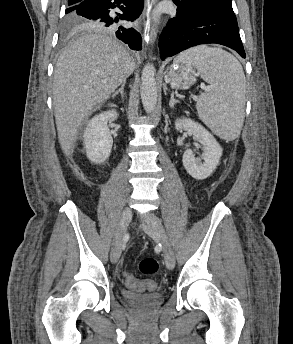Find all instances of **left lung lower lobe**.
I'll return each instance as SVG.
<instances>
[{"label": "left lung lower lobe", "instance_id": "left-lung-lower-lobe-1", "mask_svg": "<svg viewBox=\"0 0 293 344\" xmlns=\"http://www.w3.org/2000/svg\"><path fill=\"white\" fill-rule=\"evenodd\" d=\"M175 2L177 17L168 22L159 39L161 59L171 57L190 47L216 43L237 51L245 58V51L239 29L209 10L200 7L196 1Z\"/></svg>", "mask_w": 293, "mask_h": 344}]
</instances>
